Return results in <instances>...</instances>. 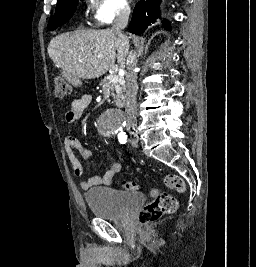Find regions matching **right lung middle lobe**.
Returning a JSON list of instances; mask_svg holds the SVG:
<instances>
[{
  "instance_id": "1",
  "label": "right lung middle lobe",
  "mask_w": 256,
  "mask_h": 267,
  "mask_svg": "<svg viewBox=\"0 0 256 267\" xmlns=\"http://www.w3.org/2000/svg\"><path fill=\"white\" fill-rule=\"evenodd\" d=\"M78 0H61L58 1L56 11L48 23V29L54 30L67 22L74 13Z\"/></svg>"
}]
</instances>
